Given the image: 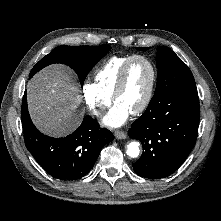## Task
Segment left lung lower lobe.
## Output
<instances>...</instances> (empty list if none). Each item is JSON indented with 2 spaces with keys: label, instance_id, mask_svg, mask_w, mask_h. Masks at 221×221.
Returning <instances> with one entry per match:
<instances>
[{
  "label": "left lung lower lobe",
  "instance_id": "obj_1",
  "mask_svg": "<svg viewBox=\"0 0 221 221\" xmlns=\"http://www.w3.org/2000/svg\"><path fill=\"white\" fill-rule=\"evenodd\" d=\"M199 118L196 86L150 102L128 131L129 137L141 141L144 151L133 164L136 174L160 179L174 173L187 159L196 142Z\"/></svg>",
  "mask_w": 221,
  "mask_h": 221
}]
</instances>
